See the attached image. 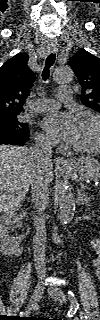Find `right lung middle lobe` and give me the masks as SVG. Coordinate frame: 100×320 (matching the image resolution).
Listing matches in <instances>:
<instances>
[{
  "instance_id": "dd1d6c3e",
  "label": "right lung middle lobe",
  "mask_w": 100,
  "mask_h": 320,
  "mask_svg": "<svg viewBox=\"0 0 100 320\" xmlns=\"http://www.w3.org/2000/svg\"><path fill=\"white\" fill-rule=\"evenodd\" d=\"M28 124L20 120L19 117L0 119V139L7 137H28Z\"/></svg>"
}]
</instances>
